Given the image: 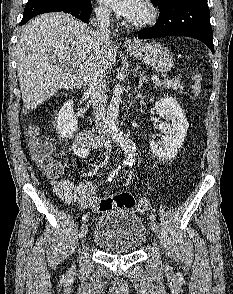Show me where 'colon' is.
<instances>
[{"label":"colon","mask_w":233,"mask_h":294,"mask_svg":"<svg viewBox=\"0 0 233 294\" xmlns=\"http://www.w3.org/2000/svg\"><path fill=\"white\" fill-rule=\"evenodd\" d=\"M191 88L196 94L200 92V75L196 74L192 77ZM29 150L32 156L41 164L49 175L52 177H58L60 175V166L50 158L51 146L40 137L37 127H31L29 129ZM115 207L136 209L138 212H147L150 208V204L147 199H140L136 202L134 197L129 193H120L107 199L93 200L91 202V208L94 210L105 211Z\"/></svg>","instance_id":"obj_1"}]
</instances>
